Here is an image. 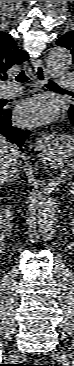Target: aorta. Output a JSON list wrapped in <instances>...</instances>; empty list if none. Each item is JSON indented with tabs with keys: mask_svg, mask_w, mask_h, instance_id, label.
Here are the masks:
<instances>
[{
	"mask_svg": "<svg viewBox=\"0 0 74 366\" xmlns=\"http://www.w3.org/2000/svg\"><path fill=\"white\" fill-rule=\"evenodd\" d=\"M72 65L70 51L62 46L52 48L47 57V70L51 76L58 77ZM57 223V205L50 196H43L38 203L37 226L40 236L49 241L55 233Z\"/></svg>",
	"mask_w": 74,
	"mask_h": 366,
	"instance_id": "762f6f07",
	"label": "aorta"
}]
</instances>
